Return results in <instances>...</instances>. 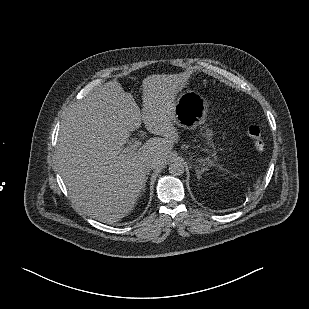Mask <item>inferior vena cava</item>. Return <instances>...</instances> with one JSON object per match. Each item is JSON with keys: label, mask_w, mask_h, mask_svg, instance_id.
I'll return each mask as SVG.
<instances>
[{"label": "inferior vena cava", "mask_w": 309, "mask_h": 309, "mask_svg": "<svg viewBox=\"0 0 309 309\" xmlns=\"http://www.w3.org/2000/svg\"><path fill=\"white\" fill-rule=\"evenodd\" d=\"M160 166H162V165H160ZM160 166L155 165V164H149L146 167V171L149 172L151 169H155V168L160 167Z\"/></svg>", "instance_id": "obj_1"}]
</instances>
